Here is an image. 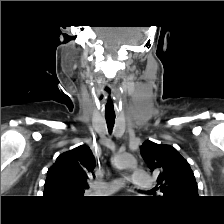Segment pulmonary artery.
I'll return each mask as SVG.
<instances>
[{"mask_svg": "<svg viewBox=\"0 0 224 224\" xmlns=\"http://www.w3.org/2000/svg\"><path fill=\"white\" fill-rule=\"evenodd\" d=\"M124 182L122 178H113L108 182L95 186V188L100 192L111 193L120 189L124 185ZM130 182L135 188L147 189L151 187L152 179L146 172L136 170L132 174Z\"/></svg>", "mask_w": 224, "mask_h": 224, "instance_id": "e3ab8cb5", "label": "pulmonary artery"}]
</instances>
